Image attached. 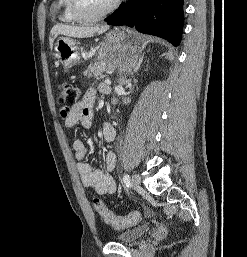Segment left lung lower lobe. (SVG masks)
Masks as SVG:
<instances>
[{"mask_svg":"<svg viewBox=\"0 0 247 257\" xmlns=\"http://www.w3.org/2000/svg\"><path fill=\"white\" fill-rule=\"evenodd\" d=\"M184 0H128L108 18L109 25H127L139 32L166 39L174 46L181 41Z\"/></svg>","mask_w":247,"mask_h":257,"instance_id":"left-lung-lower-lobe-1","label":"left lung lower lobe"}]
</instances>
